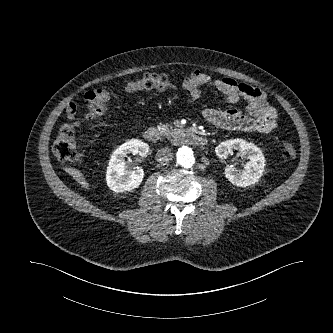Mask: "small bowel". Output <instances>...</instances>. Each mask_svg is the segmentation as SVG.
<instances>
[{"label": "small bowel", "mask_w": 333, "mask_h": 333, "mask_svg": "<svg viewBox=\"0 0 333 333\" xmlns=\"http://www.w3.org/2000/svg\"><path fill=\"white\" fill-rule=\"evenodd\" d=\"M181 87L187 91L186 102L197 100L202 87L215 89L227 103L233 104L241 99L247 102V113L235 108L217 110L208 108L203 111V118L215 126L239 130L243 132L269 133L276 127L277 112L269 105L263 91L233 78L214 79L200 71H193L186 77ZM77 106L71 102L66 108V117L74 122Z\"/></svg>", "instance_id": "1"}]
</instances>
